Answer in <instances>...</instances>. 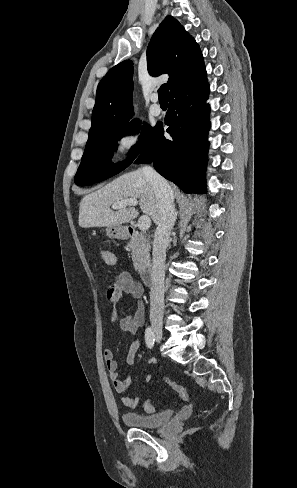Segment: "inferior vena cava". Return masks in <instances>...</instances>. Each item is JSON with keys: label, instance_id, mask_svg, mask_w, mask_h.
<instances>
[{"label": "inferior vena cava", "instance_id": "obj_1", "mask_svg": "<svg viewBox=\"0 0 297 488\" xmlns=\"http://www.w3.org/2000/svg\"><path fill=\"white\" fill-rule=\"evenodd\" d=\"M147 180L153 185L160 201V221L153 241V264L150 288V317H162L164 313V279L166 248L170 241V233L177 218L174 196L168 182L152 167L142 168Z\"/></svg>", "mask_w": 297, "mask_h": 488}]
</instances>
